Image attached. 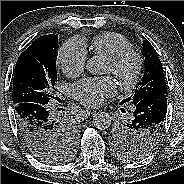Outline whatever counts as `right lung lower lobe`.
<instances>
[{
  "mask_svg": "<svg viewBox=\"0 0 184 184\" xmlns=\"http://www.w3.org/2000/svg\"><path fill=\"white\" fill-rule=\"evenodd\" d=\"M14 107L18 129L32 152L53 146L62 128L68 125L66 118L54 116L47 104L23 102Z\"/></svg>",
  "mask_w": 184,
  "mask_h": 184,
  "instance_id": "98d812e1",
  "label": "right lung lower lobe"
}]
</instances>
